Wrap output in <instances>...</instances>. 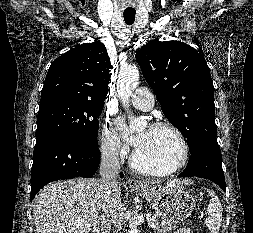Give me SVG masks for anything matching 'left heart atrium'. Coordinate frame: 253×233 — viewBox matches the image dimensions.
I'll return each instance as SVG.
<instances>
[{"mask_svg":"<svg viewBox=\"0 0 253 233\" xmlns=\"http://www.w3.org/2000/svg\"><path fill=\"white\" fill-rule=\"evenodd\" d=\"M143 138H144L143 134H138L136 136L130 137V141L137 148L142 143Z\"/></svg>","mask_w":253,"mask_h":233,"instance_id":"obj_1","label":"left heart atrium"}]
</instances>
